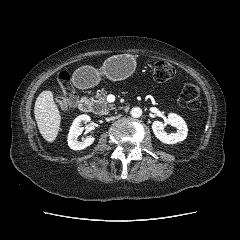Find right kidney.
I'll return each instance as SVG.
<instances>
[{
  "mask_svg": "<svg viewBox=\"0 0 240 240\" xmlns=\"http://www.w3.org/2000/svg\"><path fill=\"white\" fill-rule=\"evenodd\" d=\"M90 120V116L83 114L75 118L73 121L68 134V145L71 149L82 150L94 142L95 138L92 136L84 139L83 141H78V136L83 132V127H81L82 123H88Z\"/></svg>",
  "mask_w": 240,
  "mask_h": 240,
  "instance_id": "ca27d5eb",
  "label": "right kidney"
}]
</instances>
